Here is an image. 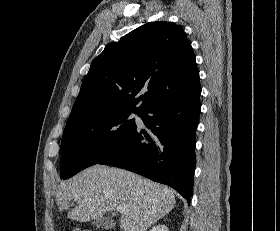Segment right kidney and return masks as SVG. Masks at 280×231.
<instances>
[{
    "label": "right kidney",
    "instance_id": "obj_1",
    "mask_svg": "<svg viewBox=\"0 0 280 231\" xmlns=\"http://www.w3.org/2000/svg\"><path fill=\"white\" fill-rule=\"evenodd\" d=\"M150 231H169L167 225H154Z\"/></svg>",
    "mask_w": 280,
    "mask_h": 231
}]
</instances>
